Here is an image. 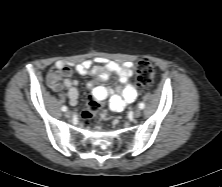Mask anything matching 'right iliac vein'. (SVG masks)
<instances>
[{"mask_svg": "<svg viewBox=\"0 0 222 187\" xmlns=\"http://www.w3.org/2000/svg\"><path fill=\"white\" fill-rule=\"evenodd\" d=\"M64 115H65L66 118H70L71 117V113L69 111H66Z\"/></svg>", "mask_w": 222, "mask_h": 187, "instance_id": "right-iliac-vein-1", "label": "right iliac vein"}]
</instances>
